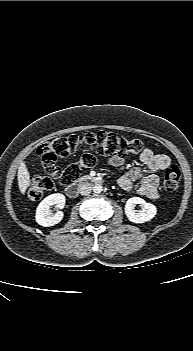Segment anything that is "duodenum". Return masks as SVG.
I'll use <instances>...</instances> for the list:
<instances>
[{
    "mask_svg": "<svg viewBox=\"0 0 193 351\" xmlns=\"http://www.w3.org/2000/svg\"><path fill=\"white\" fill-rule=\"evenodd\" d=\"M101 182V178L97 177V176H83L79 179V181L77 183H74L70 186H68L66 188V194L71 197L74 198L78 195L79 193V189L88 184V183H93V184H98Z\"/></svg>",
    "mask_w": 193,
    "mask_h": 351,
    "instance_id": "410a0bca",
    "label": "duodenum"
}]
</instances>
